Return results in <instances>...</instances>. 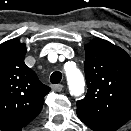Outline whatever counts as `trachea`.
<instances>
[{
    "label": "trachea",
    "mask_w": 131,
    "mask_h": 131,
    "mask_svg": "<svg viewBox=\"0 0 131 131\" xmlns=\"http://www.w3.org/2000/svg\"><path fill=\"white\" fill-rule=\"evenodd\" d=\"M62 79V74L59 71H55L50 76V81L53 84H58Z\"/></svg>",
    "instance_id": "3493384b"
}]
</instances>
